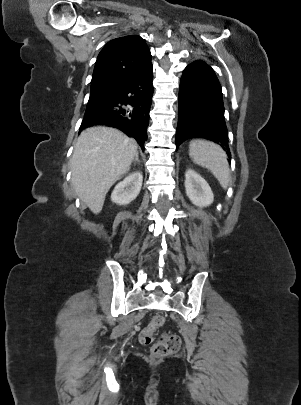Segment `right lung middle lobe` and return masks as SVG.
<instances>
[{
	"label": "right lung middle lobe",
	"instance_id": "right-lung-middle-lobe-1",
	"mask_svg": "<svg viewBox=\"0 0 301 405\" xmlns=\"http://www.w3.org/2000/svg\"><path fill=\"white\" fill-rule=\"evenodd\" d=\"M112 94L113 92H106V91L91 92L87 108L93 107L97 104L106 101L108 98L112 96Z\"/></svg>",
	"mask_w": 301,
	"mask_h": 405
}]
</instances>
